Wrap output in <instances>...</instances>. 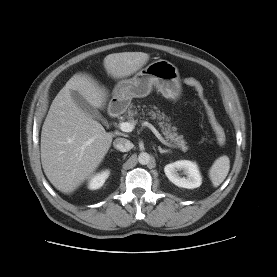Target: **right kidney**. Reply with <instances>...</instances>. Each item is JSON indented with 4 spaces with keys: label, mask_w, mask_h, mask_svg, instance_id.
I'll return each instance as SVG.
<instances>
[{
    "label": "right kidney",
    "mask_w": 277,
    "mask_h": 277,
    "mask_svg": "<svg viewBox=\"0 0 277 277\" xmlns=\"http://www.w3.org/2000/svg\"><path fill=\"white\" fill-rule=\"evenodd\" d=\"M109 174H110V171L105 170V171H102L101 173L94 175L88 183V188L91 190H96L101 188L105 183V180L109 177Z\"/></svg>",
    "instance_id": "1"
}]
</instances>
